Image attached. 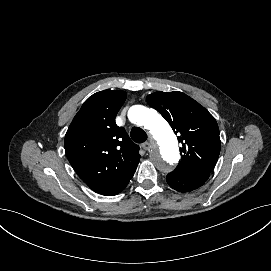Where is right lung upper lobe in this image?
<instances>
[{"label": "right lung upper lobe", "mask_w": 271, "mask_h": 271, "mask_svg": "<svg viewBox=\"0 0 271 271\" xmlns=\"http://www.w3.org/2000/svg\"><path fill=\"white\" fill-rule=\"evenodd\" d=\"M126 99L121 90L90 96L65 135L67 158L79 177L96 193L110 195L132 178L140 160L139 147L115 117Z\"/></svg>", "instance_id": "cb5924a9"}]
</instances>
